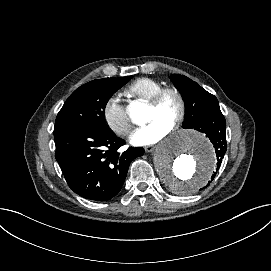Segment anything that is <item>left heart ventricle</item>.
Segmentation results:
<instances>
[{
	"label": "left heart ventricle",
	"mask_w": 271,
	"mask_h": 271,
	"mask_svg": "<svg viewBox=\"0 0 271 271\" xmlns=\"http://www.w3.org/2000/svg\"><path fill=\"white\" fill-rule=\"evenodd\" d=\"M180 112V102L175 94L165 97L162 108L156 110L149 105L147 112V123L160 121L163 124L172 126V122Z\"/></svg>",
	"instance_id": "left-heart-ventricle-1"
}]
</instances>
